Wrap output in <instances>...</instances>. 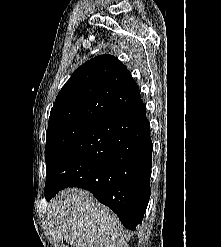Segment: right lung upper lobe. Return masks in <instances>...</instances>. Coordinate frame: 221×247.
Instances as JSON below:
<instances>
[{
    "instance_id": "right-lung-upper-lobe-1",
    "label": "right lung upper lobe",
    "mask_w": 221,
    "mask_h": 247,
    "mask_svg": "<svg viewBox=\"0 0 221 247\" xmlns=\"http://www.w3.org/2000/svg\"><path fill=\"white\" fill-rule=\"evenodd\" d=\"M142 103L131 73L112 55L81 65L58 93L48 129L66 125L93 127Z\"/></svg>"
}]
</instances>
